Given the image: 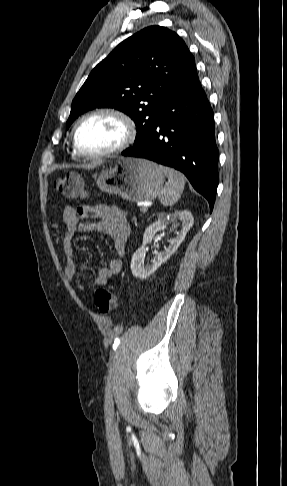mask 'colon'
I'll list each match as a JSON object with an SVG mask.
<instances>
[{"label": "colon", "mask_w": 287, "mask_h": 486, "mask_svg": "<svg viewBox=\"0 0 287 486\" xmlns=\"http://www.w3.org/2000/svg\"><path fill=\"white\" fill-rule=\"evenodd\" d=\"M55 189L66 198H80L85 195L86 184L83 178L76 173H68L54 182ZM93 302L101 313H110L118 305V297L115 293L105 288L95 291Z\"/></svg>", "instance_id": "5ec220e1"}]
</instances>
